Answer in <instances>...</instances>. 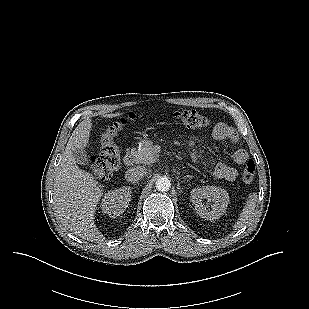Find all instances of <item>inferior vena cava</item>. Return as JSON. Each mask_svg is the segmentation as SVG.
<instances>
[{
    "label": "inferior vena cava",
    "instance_id": "1",
    "mask_svg": "<svg viewBox=\"0 0 309 309\" xmlns=\"http://www.w3.org/2000/svg\"><path fill=\"white\" fill-rule=\"evenodd\" d=\"M146 173V168L144 166L138 165L126 171L125 178L129 182L136 183L137 181L144 178Z\"/></svg>",
    "mask_w": 309,
    "mask_h": 309
}]
</instances>
